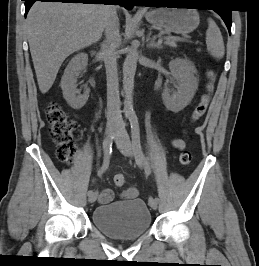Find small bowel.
<instances>
[{"mask_svg": "<svg viewBox=\"0 0 259 266\" xmlns=\"http://www.w3.org/2000/svg\"><path fill=\"white\" fill-rule=\"evenodd\" d=\"M172 145L178 149L183 150L185 148V141L183 139H174ZM138 195V191L135 187H128L123 193L122 196L126 199H134ZM114 193L110 189H104L99 193L98 201L102 204H106L112 201Z\"/></svg>", "mask_w": 259, "mask_h": 266, "instance_id": "obj_1", "label": "small bowel"}]
</instances>
